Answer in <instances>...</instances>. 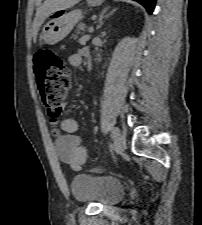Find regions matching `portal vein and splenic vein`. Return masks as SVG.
<instances>
[{
	"instance_id": "18ae733b",
	"label": "portal vein and splenic vein",
	"mask_w": 202,
	"mask_h": 225,
	"mask_svg": "<svg viewBox=\"0 0 202 225\" xmlns=\"http://www.w3.org/2000/svg\"><path fill=\"white\" fill-rule=\"evenodd\" d=\"M89 39H90V35H85V36H83L82 38L79 39V42H85Z\"/></svg>"
}]
</instances>
